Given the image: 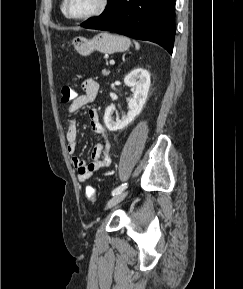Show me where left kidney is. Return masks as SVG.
Wrapping results in <instances>:
<instances>
[{
    "mask_svg": "<svg viewBox=\"0 0 243 289\" xmlns=\"http://www.w3.org/2000/svg\"><path fill=\"white\" fill-rule=\"evenodd\" d=\"M124 83L133 89V97L128 101L129 111L121 119L114 121L112 113L115 106H108L105 110L104 123L109 131H117L126 127L141 113L149 92L150 74L142 68L134 69L125 77Z\"/></svg>",
    "mask_w": 243,
    "mask_h": 289,
    "instance_id": "5707ae66",
    "label": "left kidney"
}]
</instances>
